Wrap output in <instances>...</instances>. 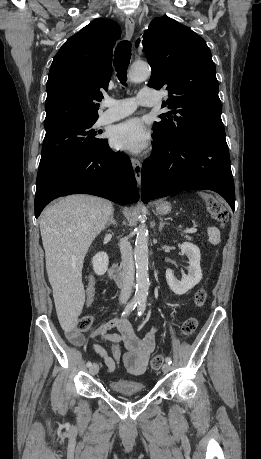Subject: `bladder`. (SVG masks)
Returning <instances> with one entry per match:
<instances>
[{
	"mask_svg": "<svg viewBox=\"0 0 261 459\" xmlns=\"http://www.w3.org/2000/svg\"><path fill=\"white\" fill-rule=\"evenodd\" d=\"M109 389L116 394L132 395L145 391V385L137 380L115 379L108 384Z\"/></svg>",
	"mask_w": 261,
	"mask_h": 459,
	"instance_id": "obj_1",
	"label": "bladder"
}]
</instances>
